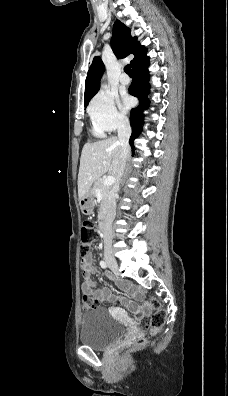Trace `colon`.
Wrapping results in <instances>:
<instances>
[{
    "label": "colon",
    "mask_w": 228,
    "mask_h": 396,
    "mask_svg": "<svg viewBox=\"0 0 228 396\" xmlns=\"http://www.w3.org/2000/svg\"><path fill=\"white\" fill-rule=\"evenodd\" d=\"M91 225L89 222H84L81 226L80 236H81V255L82 260H85L90 254V245L88 242L89 233ZM98 307V301L88 294H84L82 297V308L84 310H91ZM154 311L150 315L143 316L138 322L139 329L144 332H150L155 334L165 322V313L161 308L158 301L153 300ZM146 340L144 338H139L135 342L136 347L144 345Z\"/></svg>",
    "instance_id": "5ec220e1"
}]
</instances>
